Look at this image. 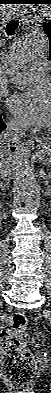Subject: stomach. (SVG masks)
Here are the masks:
<instances>
[{
  "instance_id": "0dacf381",
  "label": "stomach",
  "mask_w": 51,
  "mask_h": 393,
  "mask_svg": "<svg viewBox=\"0 0 51 393\" xmlns=\"http://www.w3.org/2000/svg\"><path fill=\"white\" fill-rule=\"evenodd\" d=\"M37 156L41 164L51 166V143L43 145L39 149Z\"/></svg>"
}]
</instances>
